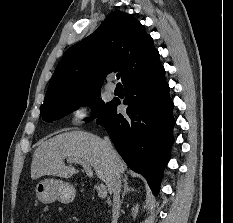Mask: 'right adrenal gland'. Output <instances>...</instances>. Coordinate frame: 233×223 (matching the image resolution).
<instances>
[{"label":"right adrenal gland","mask_w":233,"mask_h":223,"mask_svg":"<svg viewBox=\"0 0 233 223\" xmlns=\"http://www.w3.org/2000/svg\"><path fill=\"white\" fill-rule=\"evenodd\" d=\"M128 177H124L123 181V193L121 195V203H123L124 201V195L125 193H129V191H136V189H134V187H130V185H128V181H127Z\"/></svg>","instance_id":"obj_1"}]
</instances>
